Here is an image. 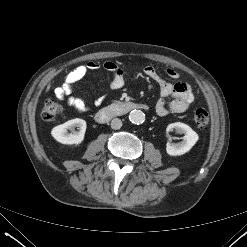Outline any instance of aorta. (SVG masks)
Masks as SVG:
<instances>
[{
	"instance_id": "aorta-1",
	"label": "aorta",
	"mask_w": 247,
	"mask_h": 247,
	"mask_svg": "<svg viewBox=\"0 0 247 247\" xmlns=\"http://www.w3.org/2000/svg\"><path fill=\"white\" fill-rule=\"evenodd\" d=\"M129 121L132 124L140 125L145 121V114L141 110H132L129 113Z\"/></svg>"
}]
</instances>
